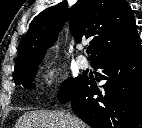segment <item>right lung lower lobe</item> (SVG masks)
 Wrapping results in <instances>:
<instances>
[{
  "label": "right lung lower lobe",
  "mask_w": 142,
  "mask_h": 128,
  "mask_svg": "<svg viewBox=\"0 0 142 128\" xmlns=\"http://www.w3.org/2000/svg\"><path fill=\"white\" fill-rule=\"evenodd\" d=\"M99 89L84 78L70 98L73 111L92 128H142V46L102 58Z\"/></svg>",
  "instance_id": "1"
}]
</instances>
